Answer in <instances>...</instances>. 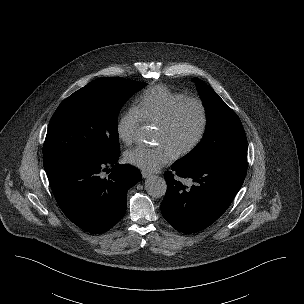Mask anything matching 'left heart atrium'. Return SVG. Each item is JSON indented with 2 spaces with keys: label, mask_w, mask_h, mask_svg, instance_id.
I'll list each match as a JSON object with an SVG mask.
<instances>
[{
  "label": "left heart atrium",
  "mask_w": 304,
  "mask_h": 304,
  "mask_svg": "<svg viewBox=\"0 0 304 304\" xmlns=\"http://www.w3.org/2000/svg\"><path fill=\"white\" fill-rule=\"evenodd\" d=\"M174 156L175 151L165 144L152 148L139 146L125 153V161L143 171L152 172L168 163Z\"/></svg>",
  "instance_id": "1"
}]
</instances>
